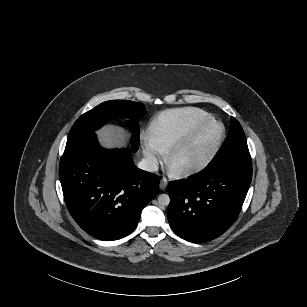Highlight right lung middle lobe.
<instances>
[{
    "instance_id": "1",
    "label": "right lung middle lobe",
    "mask_w": 307,
    "mask_h": 307,
    "mask_svg": "<svg viewBox=\"0 0 307 307\" xmlns=\"http://www.w3.org/2000/svg\"><path fill=\"white\" fill-rule=\"evenodd\" d=\"M145 112L144 104L128 100L106 101L92 110L80 116L74 123L68 135L67 143L73 142L85 134L94 132L107 121L109 116L118 113L131 119L132 124V144L134 150L139 145V123L137 118L143 116Z\"/></svg>"
}]
</instances>
